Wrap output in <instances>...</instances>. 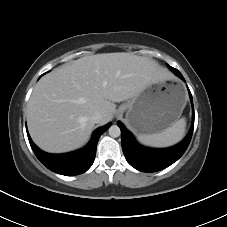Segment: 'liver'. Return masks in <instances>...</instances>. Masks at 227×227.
<instances>
[{"instance_id":"1","label":"liver","mask_w":227,"mask_h":227,"mask_svg":"<svg viewBox=\"0 0 227 227\" xmlns=\"http://www.w3.org/2000/svg\"><path fill=\"white\" fill-rule=\"evenodd\" d=\"M167 78L154 60L132 53L85 56L46 74L35 86L27 110L28 130L42 150L63 153L90 138L99 111V124L108 123L115 102L131 99L148 85Z\"/></svg>"}]
</instances>
